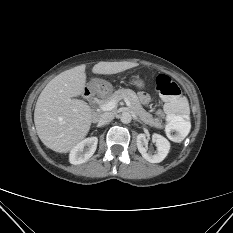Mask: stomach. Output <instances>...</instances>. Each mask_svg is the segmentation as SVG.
<instances>
[{
    "instance_id": "0dacf381",
    "label": "stomach",
    "mask_w": 233,
    "mask_h": 233,
    "mask_svg": "<svg viewBox=\"0 0 233 233\" xmlns=\"http://www.w3.org/2000/svg\"><path fill=\"white\" fill-rule=\"evenodd\" d=\"M132 83L136 85L139 88H142L144 86V81L143 79L136 77ZM92 84L95 85L101 92L103 93H108L112 90V86L110 83L101 80V79H94L92 81Z\"/></svg>"
}]
</instances>
